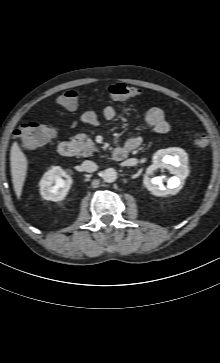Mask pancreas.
<instances>
[{
  "label": "pancreas",
  "mask_w": 220,
  "mask_h": 363,
  "mask_svg": "<svg viewBox=\"0 0 220 363\" xmlns=\"http://www.w3.org/2000/svg\"><path fill=\"white\" fill-rule=\"evenodd\" d=\"M73 142L77 145L80 156L89 157L94 152L98 151L92 139H90L86 134L76 135Z\"/></svg>",
  "instance_id": "obj_1"
}]
</instances>
